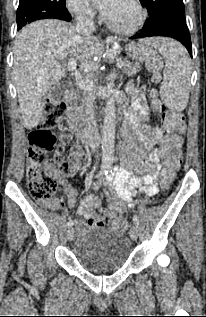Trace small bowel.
<instances>
[{
	"label": "small bowel",
	"instance_id": "c3829d8e",
	"mask_svg": "<svg viewBox=\"0 0 206 317\" xmlns=\"http://www.w3.org/2000/svg\"><path fill=\"white\" fill-rule=\"evenodd\" d=\"M134 112L128 114L124 130L123 166L114 175H108L106 181L109 190L115 194V199L109 203L108 210L104 216L95 212L100 206V200L95 195L83 197L78 208V215L87 219L88 223L76 222L79 233H84L87 227H103L105 217L112 221L119 218L125 211L126 204L134 205L133 198L135 190L147 196L158 193V173L160 163L167 158L174 150H179L182 146V138L176 134L164 133L157 127L145 126L148 109L142 101V89L133 90ZM152 104L155 110L160 111L162 104L157 98L156 91L151 92ZM81 149L78 146L72 148L71 162L74 172L79 168V158ZM136 157L138 161H133ZM52 174L63 186L67 196L68 205L73 207L76 202L75 192L68 182L62 178L58 172L52 168ZM93 189H99L100 183H94ZM42 205L50 210H61L64 204L58 199L42 201Z\"/></svg>",
	"mask_w": 206,
	"mask_h": 317
}]
</instances>
